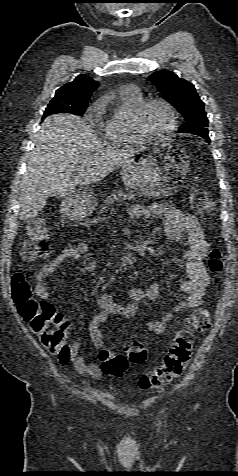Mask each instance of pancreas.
Instances as JSON below:
<instances>
[{"label":"pancreas","mask_w":238,"mask_h":476,"mask_svg":"<svg viewBox=\"0 0 238 476\" xmlns=\"http://www.w3.org/2000/svg\"><path fill=\"white\" fill-rule=\"evenodd\" d=\"M134 198H135V195L133 193H124V192L112 193L103 202V205L101 206V209H100V213L106 212L107 209L110 212H113L116 202H121L126 199H134Z\"/></svg>","instance_id":"pancreas-1"}]
</instances>
